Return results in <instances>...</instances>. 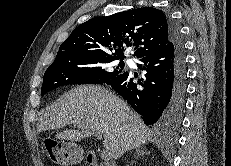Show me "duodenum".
I'll return each mask as SVG.
<instances>
[{
	"label": "duodenum",
	"instance_id": "1",
	"mask_svg": "<svg viewBox=\"0 0 231 166\" xmlns=\"http://www.w3.org/2000/svg\"><path fill=\"white\" fill-rule=\"evenodd\" d=\"M85 162L88 166H97L98 157L93 152L87 153L86 158H85Z\"/></svg>",
	"mask_w": 231,
	"mask_h": 166
}]
</instances>
